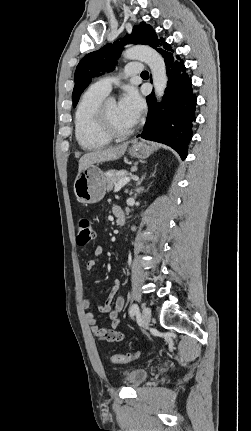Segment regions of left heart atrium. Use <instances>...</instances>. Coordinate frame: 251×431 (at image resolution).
<instances>
[{
	"instance_id": "1",
	"label": "left heart atrium",
	"mask_w": 251,
	"mask_h": 431,
	"mask_svg": "<svg viewBox=\"0 0 251 431\" xmlns=\"http://www.w3.org/2000/svg\"><path fill=\"white\" fill-rule=\"evenodd\" d=\"M118 104L120 109L133 124L138 122L145 107L142 97L138 91L132 87L125 90Z\"/></svg>"
}]
</instances>
